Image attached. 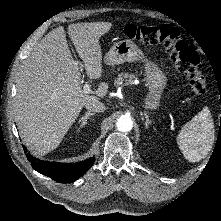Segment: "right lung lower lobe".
Masks as SVG:
<instances>
[{
    "instance_id": "obj_1",
    "label": "right lung lower lobe",
    "mask_w": 221,
    "mask_h": 221,
    "mask_svg": "<svg viewBox=\"0 0 221 221\" xmlns=\"http://www.w3.org/2000/svg\"><path fill=\"white\" fill-rule=\"evenodd\" d=\"M25 149V148H24ZM26 152V149H25ZM27 159L39 173L46 175L60 183L74 182L80 178L94 163L95 158H89L74 164L47 162L36 159L27 153Z\"/></svg>"
}]
</instances>
